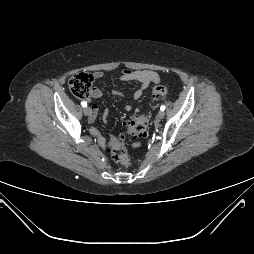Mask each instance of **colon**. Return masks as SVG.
Here are the masks:
<instances>
[{
    "label": "colon",
    "instance_id": "colon-1",
    "mask_svg": "<svg viewBox=\"0 0 254 254\" xmlns=\"http://www.w3.org/2000/svg\"><path fill=\"white\" fill-rule=\"evenodd\" d=\"M94 78L90 74L79 73L70 77L68 86L71 93L79 99H87L90 96ZM152 93L155 97L165 98L168 89L164 86H156ZM151 119L148 114H140L131 118L126 125V132L114 138L111 143L110 153L113 160L123 166H130L131 161L127 153L126 139H139L148 135Z\"/></svg>",
    "mask_w": 254,
    "mask_h": 254
}]
</instances>
